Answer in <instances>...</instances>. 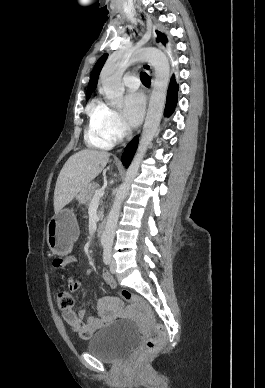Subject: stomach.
<instances>
[{"instance_id": "stomach-1", "label": "stomach", "mask_w": 265, "mask_h": 388, "mask_svg": "<svg viewBox=\"0 0 265 388\" xmlns=\"http://www.w3.org/2000/svg\"><path fill=\"white\" fill-rule=\"evenodd\" d=\"M79 235L76 217L72 210L63 209L47 225V243L52 253L67 255Z\"/></svg>"}]
</instances>
